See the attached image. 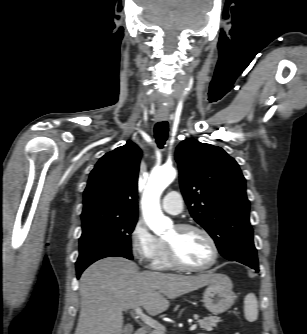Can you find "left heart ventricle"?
I'll use <instances>...</instances> for the list:
<instances>
[{
  "mask_svg": "<svg viewBox=\"0 0 307 334\" xmlns=\"http://www.w3.org/2000/svg\"><path fill=\"white\" fill-rule=\"evenodd\" d=\"M176 250L180 259L191 266L208 263L212 249L203 234L196 230L181 231L173 227L165 238Z\"/></svg>",
  "mask_w": 307,
  "mask_h": 334,
  "instance_id": "1",
  "label": "left heart ventricle"
}]
</instances>
